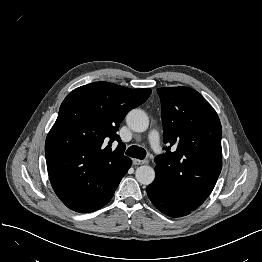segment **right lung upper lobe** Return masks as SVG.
<instances>
[{
    "mask_svg": "<svg viewBox=\"0 0 262 262\" xmlns=\"http://www.w3.org/2000/svg\"><path fill=\"white\" fill-rule=\"evenodd\" d=\"M150 94L94 82L67 95L45 142L50 182L62 202H98L116 190L131 160L111 143L121 142L120 123Z\"/></svg>",
    "mask_w": 262,
    "mask_h": 262,
    "instance_id": "right-lung-upper-lobe-1",
    "label": "right lung upper lobe"
}]
</instances>
